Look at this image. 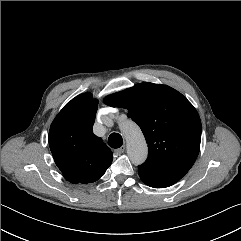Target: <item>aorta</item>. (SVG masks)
Instances as JSON below:
<instances>
[{"mask_svg": "<svg viewBox=\"0 0 241 241\" xmlns=\"http://www.w3.org/2000/svg\"><path fill=\"white\" fill-rule=\"evenodd\" d=\"M120 129L126 139L127 153L133 164H142L148 154V148L139 126L133 121H125L120 124Z\"/></svg>", "mask_w": 241, "mask_h": 241, "instance_id": "obj_1", "label": "aorta"}]
</instances>
